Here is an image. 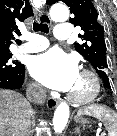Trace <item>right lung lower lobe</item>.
Returning <instances> with one entry per match:
<instances>
[{
  "instance_id": "obj_1",
  "label": "right lung lower lobe",
  "mask_w": 117,
  "mask_h": 136,
  "mask_svg": "<svg viewBox=\"0 0 117 136\" xmlns=\"http://www.w3.org/2000/svg\"><path fill=\"white\" fill-rule=\"evenodd\" d=\"M24 66L17 71H0V88L2 89H19L24 82Z\"/></svg>"
}]
</instances>
